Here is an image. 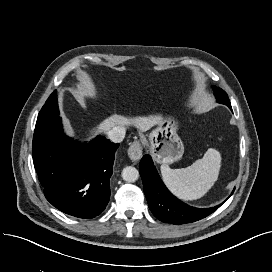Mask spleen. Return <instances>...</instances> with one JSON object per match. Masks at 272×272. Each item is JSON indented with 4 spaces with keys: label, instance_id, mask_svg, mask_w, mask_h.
<instances>
[{
    "label": "spleen",
    "instance_id": "spleen-1",
    "mask_svg": "<svg viewBox=\"0 0 272 272\" xmlns=\"http://www.w3.org/2000/svg\"><path fill=\"white\" fill-rule=\"evenodd\" d=\"M221 155L216 149L210 148L203 158L191 166L171 169L161 165V174L165 185L178 198L188 201L203 197L214 185L219 176Z\"/></svg>",
    "mask_w": 272,
    "mask_h": 272
}]
</instances>
